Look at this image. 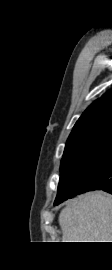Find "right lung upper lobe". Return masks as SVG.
Segmentation results:
<instances>
[{
    "label": "right lung upper lobe",
    "mask_w": 112,
    "mask_h": 270,
    "mask_svg": "<svg viewBox=\"0 0 112 270\" xmlns=\"http://www.w3.org/2000/svg\"><path fill=\"white\" fill-rule=\"evenodd\" d=\"M112 124V90L93 102L81 115L68 139L94 127Z\"/></svg>",
    "instance_id": "1"
}]
</instances>
